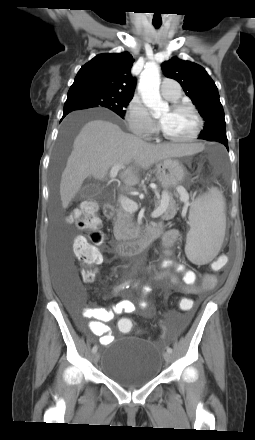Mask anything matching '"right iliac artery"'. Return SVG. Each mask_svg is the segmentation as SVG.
<instances>
[{"instance_id": "obj_1", "label": "right iliac artery", "mask_w": 255, "mask_h": 440, "mask_svg": "<svg viewBox=\"0 0 255 440\" xmlns=\"http://www.w3.org/2000/svg\"><path fill=\"white\" fill-rule=\"evenodd\" d=\"M130 286V282H125L124 284H121L120 286H118L117 288H116V291L117 290H122V289H124V288H128ZM97 346L95 345L93 348H92V353H96L97 352Z\"/></svg>"}]
</instances>
